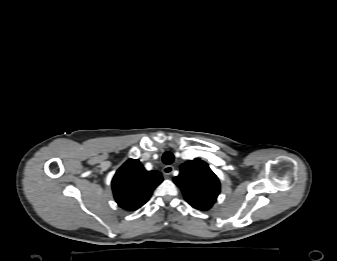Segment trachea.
<instances>
[{
	"label": "trachea",
	"mask_w": 337,
	"mask_h": 261,
	"mask_svg": "<svg viewBox=\"0 0 337 261\" xmlns=\"http://www.w3.org/2000/svg\"><path fill=\"white\" fill-rule=\"evenodd\" d=\"M162 161L166 165L172 164L174 162V155L171 152L167 151L163 154Z\"/></svg>",
	"instance_id": "1"
}]
</instances>
